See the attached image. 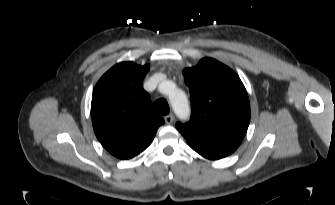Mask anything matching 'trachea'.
I'll return each mask as SVG.
<instances>
[{"mask_svg": "<svg viewBox=\"0 0 335 205\" xmlns=\"http://www.w3.org/2000/svg\"><path fill=\"white\" fill-rule=\"evenodd\" d=\"M154 110L161 114V115H167L169 113V105L166 99L160 98L156 100L153 104Z\"/></svg>", "mask_w": 335, "mask_h": 205, "instance_id": "3493384b", "label": "trachea"}]
</instances>
